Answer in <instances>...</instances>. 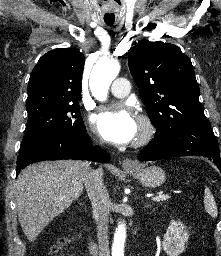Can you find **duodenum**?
<instances>
[{"instance_id":"410a0bca","label":"duodenum","mask_w":221,"mask_h":256,"mask_svg":"<svg viewBox=\"0 0 221 256\" xmlns=\"http://www.w3.org/2000/svg\"><path fill=\"white\" fill-rule=\"evenodd\" d=\"M86 243H87L90 253L94 256H97L98 255V245L95 242V240L92 238V236H90L89 234H86Z\"/></svg>"}]
</instances>
